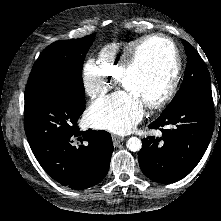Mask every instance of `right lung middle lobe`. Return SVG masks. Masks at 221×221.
Segmentation results:
<instances>
[{
  "mask_svg": "<svg viewBox=\"0 0 221 221\" xmlns=\"http://www.w3.org/2000/svg\"><path fill=\"white\" fill-rule=\"evenodd\" d=\"M95 34L75 40H62L44 49L36 60L25 89L28 101L52 83L64 82L85 96L82 68Z\"/></svg>",
  "mask_w": 221,
  "mask_h": 221,
  "instance_id": "obj_1",
  "label": "right lung middle lobe"
}]
</instances>
